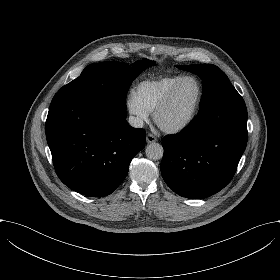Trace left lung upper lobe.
<instances>
[{"label": "left lung upper lobe", "mask_w": 280, "mask_h": 280, "mask_svg": "<svg viewBox=\"0 0 280 280\" xmlns=\"http://www.w3.org/2000/svg\"><path fill=\"white\" fill-rule=\"evenodd\" d=\"M176 67L192 72L202 79L203 94L200 102V110L224 98L238 95V92L230 83L227 75L215 65L194 64L191 66L177 65Z\"/></svg>", "instance_id": "obj_1"}]
</instances>
